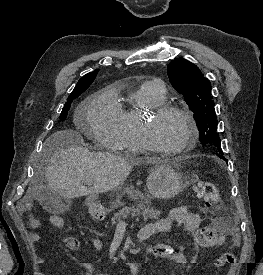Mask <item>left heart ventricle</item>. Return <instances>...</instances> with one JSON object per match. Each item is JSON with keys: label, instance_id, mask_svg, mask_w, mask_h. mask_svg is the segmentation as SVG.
I'll use <instances>...</instances> for the list:
<instances>
[{"label": "left heart ventricle", "instance_id": "left-heart-ventricle-1", "mask_svg": "<svg viewBox=\"0 0 263 275\" xmlns=\"http://www.w3.org/2000/svg\"><path fill=\"white\" fill-rule=\"evenodd\" d=\"M151 134L154 142L159 147L176 149L187 139L189 125L187 121L179 115H164L152 120Z\"/></svg>", "mask_w": 263, "mask_h": 275}]
</instances>
